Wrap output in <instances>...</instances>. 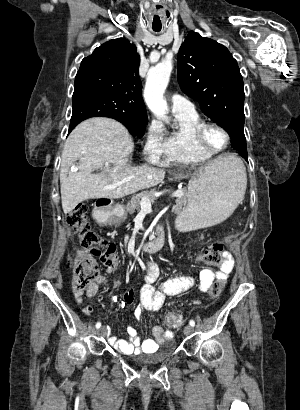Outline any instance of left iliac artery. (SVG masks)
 <instances>
[{
  "instance_id": "44dca946",
  "label": "left iliac artery",
  "mask_w": 300,
  "mask_h": 410,
  "mask_svg": "<svg viewBox=\"0 0 300 410\" xmlns=\"http://www.w3.org/2000/svg\"><path fill=\"white\" fill-rule=\"evenodd\" d=\"M189 324L194 327L195 326V321L194 320H190Z\"/></svg>"
}]
</instances>
